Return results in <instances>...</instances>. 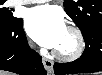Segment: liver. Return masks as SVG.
Wrapping results in <instances>:
<instances>
[{
    "label": "liver",
    "mask_w": 102,
    "mask_h": 75,
    "mask_svg": "<svg viewBox=\"0 0 102 75\" xmlns=\"http://www.w3.org/2000/svg\"><path fill=\"white\" fill-rule=\"evenodd\" d=\"M1 75H11V74H7L6 72H1Z\"/></svg>",
    "instance_id": "1"
}]
</instances>
